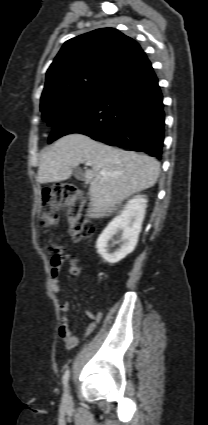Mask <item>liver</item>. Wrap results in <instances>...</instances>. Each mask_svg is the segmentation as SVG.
Wrapping results in <instances>:
<instances>
[{"instance_id": "1", "label": "liver", "mask_w": 208, "mask_h": 425, "mask_svg": "<svg viewBox=\"0 0 208 425\" xmlns=\"http://www.w3.org/2000/svg\"><path fill=\"white\" fill-rule=\"evenodd\" d=\"M86 162L92 163L84 173L85 185H90L88 215L92 218L110 215L132 194L154 186L160 171V163L153 157L74 133L57 140L42 155L37 181L46 184L67 180L76 166Z\"/></svg>"}]
</instances>
